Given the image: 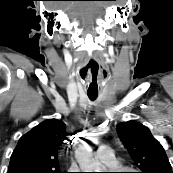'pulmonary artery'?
Wrapping results in <instances>:
<instances>
[{"mask_svg": "<svg viewBox=\"0 0 173 173\" xmlns=\"http://www.w3.org/2000/svg\"><path fill=\"white\" fill-rule=\"evenodd\" d=\"M95 158L108 167H115L116 165L114 151L109 146L100 147L95 153Z\"/></svg>", "mask_w": 173, "mask_h": 173, "instance_id": "pulmonary-artery-1", "label": "pulmonary artery"}]
</instances>
